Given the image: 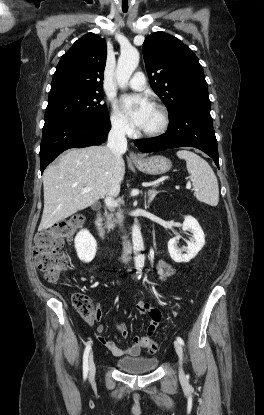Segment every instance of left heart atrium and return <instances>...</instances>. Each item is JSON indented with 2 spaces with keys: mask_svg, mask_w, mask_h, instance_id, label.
Here are the masks:
<instances>
[{
  "mask_svg": "<svg viewBox=\"0 0 264 415\" xmlns=\"http://www.w3.org/2000/svg\"><path fill=\"white\" fill-rule=\"evenodd\" d=\"M122 110L133 125L139 129L152 110V105L144 96H124L120 101Z\"/></svg>",
  "mask_w": 264,
  "mask_h": 415,
  "instance_id": "left-heart-atrium-1",
  "label": "left heart atrium"
}]
</instances>
